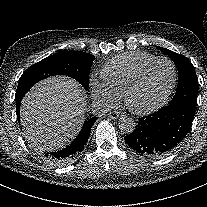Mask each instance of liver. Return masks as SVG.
Listing matches in <instances>:
<instances>
[{
	"label": "liver",
	"instance_id": "6515ba94",
	"mask_svg": "<svg viewBox=\"0 0 207 207\" xmlns=\"http://www.w3.org/2000/svg\"><path fill=\"white\" fill-rule=\"evenodd\" d=\"M86 99V92L71 77L58 75L39 81L21 101L25 139L41 151L65 148L81 131Z\"/></svg>",
	"mask_w": 207,
	"mask_h": 207
}]
</instances>
